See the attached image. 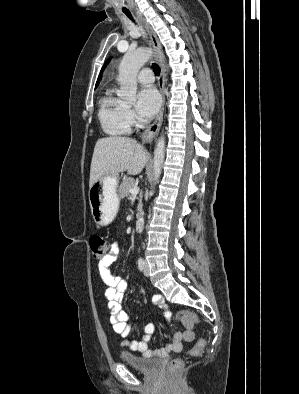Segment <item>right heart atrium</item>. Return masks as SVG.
I'll return each instance as SVG.
<instances>
[{"instance_id": "1", "label": "right heart atrium", "mask_w": 299, "mask_h": 394, "mask_svg": "<svg viewBox=\"0 0 299 394\" xmlns=\"http://www.w3.org/2000/svg\"><path fill=\"white\" fill-rule=\"evenodd\" d=\"M125 115H126V119H127V122L129 123V125H133L135 123V114H134L133 110L130 108H126Z\"/></svg>"}]
</instances>
